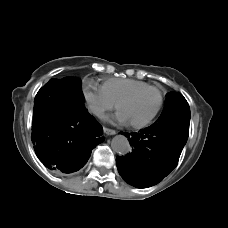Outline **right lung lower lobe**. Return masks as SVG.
I'll list each match as a JSON object with an SVG mask.
<instances>
[{
	"label": "right lung lower lobe",
	"mask_w": 228,
	"mask_h": 228,
	"mask_svg": "<svg viewBox=\"0 0 228 228\" xmlns=\"http://www.w3.org/2000/svg\"><path fill=\"white\" fill-rule=\"evenodd\" d=\"M83 103V97L69 102L58 86L49 82L37 93L31 140L37 157L49 169L79 170L103 141V128Z\"/></svg>",
	"instance_id": "98d812e1"
}]
</instances>
